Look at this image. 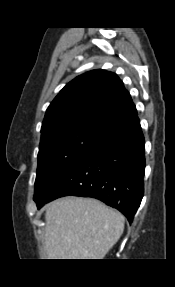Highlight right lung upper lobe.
Returning <instances> with one entry per match:
<instances>
[{
  "label": "right lung upper lobe",
  "mask_w": 175,
  "mask_h": 287,
  "mask_svg": "<svg viewBox=\"0 0 175 287\" xmlns=\"http://www.w3.org/2000/svg\"><path fill=\"white\" fill-rule=\"evenodd\" d=\"M137 114L129 92L118 76L92 70L69 82L49 105L42 134L59 126L101 122L117 125Z\"/></svg>",
  "instance_id": "obj_1"
}]
</instances>
